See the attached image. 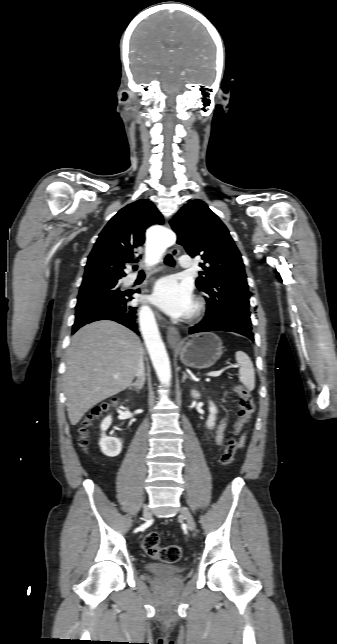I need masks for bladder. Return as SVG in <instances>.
<instances>
[{
	"mask_svg": "<svg viewBox=\"0 0 337 644\" xmlns=\"http://www.w3.org/2000/svg\"><path fill=\"white\" fill-rule=\"evenodd\" d=\"M144 569L151 574L166 577L179 575L184 570L183 566L178 564H165L159 562H147L144 564Z\"/></svg>",
	"mask_w": 337,
	"mask_h": 644,
	"instance_id": "1",
	"label": "bladder"
}]
</instances>
